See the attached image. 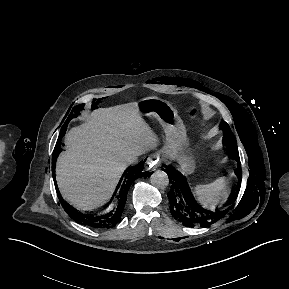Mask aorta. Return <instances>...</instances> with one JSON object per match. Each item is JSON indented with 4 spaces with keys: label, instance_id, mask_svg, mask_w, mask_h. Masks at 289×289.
Listing matches in <instances>:
<instances>
[{
    "label": "aorta",
    "instance_id": "obj_1",
    "mask_svg": "<svg viewBox=\"0 0 289 289\" xmlns=\"http://www.w3.org/2000/svg\"><path fill=\"white\" fill-rule=\"evenodd\" d=\"M150 182L158 189H165L169 185V177L166 172L157 170L150 176Z\"/></svg>",
    "mask_w": 289,
    "mask_h": 289
}]
</instances>
